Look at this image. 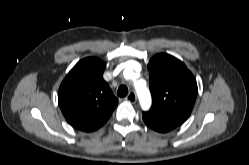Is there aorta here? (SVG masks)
I'll use <instances>...</instances> for the list:
<instances>
[{
	"instance_id": "762f6f07",
	"label": "aorta",
	"mask_w": 249,
	"mask_h": 165,
	"mask_svg": "<svg viewBox=\"0 0 249 165\" xmlns=\"http://www.w3.org/2000/svg\"><path fill=\"white\" fill-rule=\"evenodd\" d=\"M135 89L140 101L141 108L143 110H148L151 106V95L146 85L141 81L135 83Z\"/></svg>"
}]
</instances>
